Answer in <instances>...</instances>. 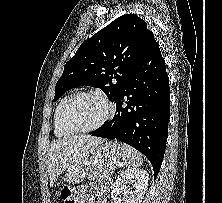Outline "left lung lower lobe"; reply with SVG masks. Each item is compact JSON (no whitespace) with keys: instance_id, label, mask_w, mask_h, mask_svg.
I'll use <instances>...</instances> for the list:
<instances>
[{"instance_id":"obj_1","label":"left lung lower lobe","mask_w":222,"mask_h":203,"mask_svg":"<svg viewBox=\"0 0 222 203\" xmlns=\"http://www.w3.org/2000/svg\"><path fill=\"white\" fill-rule=\"evenodd\" d=\"M115 102L116 114L111 122L89 134L136 148L149 159L157 176L166 148L170 96L165 61L152 32Z\"/></svg>"}]
</instances>
